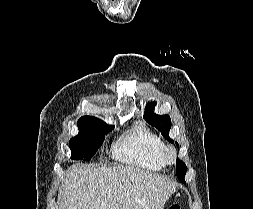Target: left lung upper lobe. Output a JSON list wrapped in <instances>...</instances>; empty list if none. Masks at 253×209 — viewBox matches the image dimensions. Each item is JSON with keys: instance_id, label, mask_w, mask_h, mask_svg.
<instances>
[{"instance_id": "5c2ea615", "label": "left lung upper lobe", "mask_w": 253, "mask_h": 209, "mask_svg": "<svg viewBox=\"0 0 253 209\" xmlns=\"http://www.w3.org/2000/svg\"><path fill=\"white\" fill-rule=\"evenodd\" d=\"M154 106H155V102H150L147 104L145 108V114H144L145 120L153 127H156L169 142L174 143V140H172L169 137V131L171 128L170 117L168 115L154 114L152 112ZM175 143L177 146H179L177 142ZM186 170L187 168H186L185 163L182 160L177 159L176 174H177L178 179L184 183H185L184 176H185Z\"/></svg>"}]
</instances>
